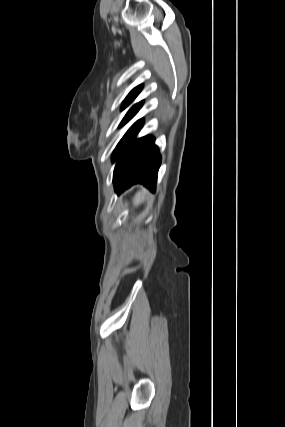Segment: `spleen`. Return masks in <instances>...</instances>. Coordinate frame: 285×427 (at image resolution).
Listing matches in <instances>:
<instances>
[{"mask_svg":"<svg viewBox=\"0 0 285 427\" xmlns=\"http://www.w3.org/2000/svg\"><path fill=\"white\" fill-rule=\"evenodd\" d=\"M146 194L147 193L145 191L137 192L134 199H133V203L135 205L140 204L144 200Z\"/></svg>","mask_w":285,"mask_h":427,"instance_id":"obj_1","label":"spleen"}]
</instances>
